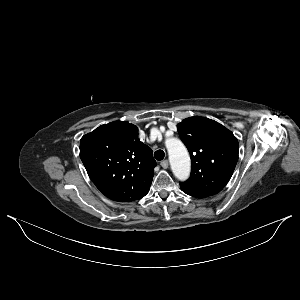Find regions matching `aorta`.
Listing matches in <instances>:
<instances>
[{
	"label": "aorta",
	"instance_id": "aorta-1",
	"mask_svg": "<svg viewBox=\"0 0 300 300\" xmlns=\"http://www.w3.org/2000/svg\"><path fill=\"white\" fill-rule=\"evenodd\" d=\"M166 147L175 177L180 181L187 180L190 175L191 162L186 147L177 138H168Z\"/></svg>",
	"mask_w": 300,
	"mask_h": 300
}]
</instances>
